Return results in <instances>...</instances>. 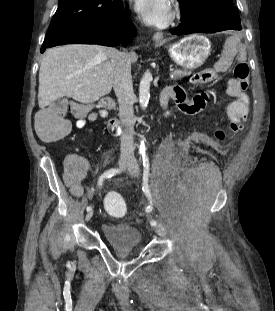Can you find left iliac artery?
<instances>
[{
	"label": "left iliac artery",
	"instance_id": "obj_1",
	"mask_svg": "<svg viewBox=\"0 0 275 311\" xmlns=\"http://www.w3.org/2000/svg\"><path fill=\"white\" fill-rule=\"evenodd\" d=\"M142 158H143V166H144V170H143V191L147 195V197L150 199V205L147 207V212H151L153 209V203L151 200V192H150L149 185H148V176H149L150 164H149L148 156L145 153L142 154ZM150 223L152 226L157 225V222L155 220H152Z\"/></svg>",
	"mask_w": 275,
	"mask_h": 311
}]
</instances>
